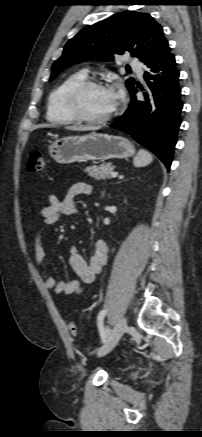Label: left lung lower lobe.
Here are the masks:
<instances>
[{
    "instance_id": "left-lung-lower-lobe-1",
    "label": "left lung lower lobe",
    "mask_w": 202,
    "mask_h": 437,
    "mask_svg": "<svg viewBox=\"0 0 202 437\" xmlns=\"http://www.w3.org/2000/svg\"><path fill=\"white\" fill-rule=\"evenodd\" d=\"M146 65L144 78L149 89L144 100L137 99L134 87L128 109L110 126L131 135L169 169L183 107L179 71L168 44Z\"/></svg>"
}]
</instances>
